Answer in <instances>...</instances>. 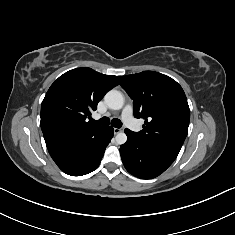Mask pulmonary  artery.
<instances>
[{"instance_id":"pulmonary-artery-1","label":"pulmonary artery","mask_w":235,"mask_h":235,"mask_svg":"<svg viewBox=\"0 0 235 235\" xmlns=\"http://www.w3.org/2000/svg\"><path fill=\"white\" fill-rule=\"evenodd\" d=\"M122 119L124 123L134 132H139L141 126L133 117V108L130 104L126 105L122 111Z\"/></svg>"}]
</instances>
